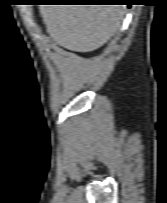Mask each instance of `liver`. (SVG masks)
Segmentation results:
<instances>
[{
    "instance_id": "6515ba94",
    "label": "liver",
    "mask_w": 167,
    "mask_h": 203,
    "mask_svg": "<svg viewBox=\"0 0 167 203\" xmlns=\"http://www.w3.org/2000/svg\"><path fill=\"white\" fill-rule=\"evenodd\" d=\"M125 6L41 5L40 13L52 39L68 50L90 52L119 29Z\"/></svg>"
}]
</instances>
